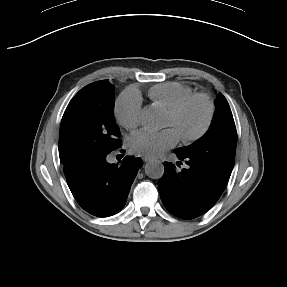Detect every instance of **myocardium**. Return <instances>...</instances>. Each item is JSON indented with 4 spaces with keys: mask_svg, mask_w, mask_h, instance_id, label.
Listing matches in <instances>:
<instances>
[{
    "mask_svg": "<svg viewBox=\"0 0 287 287\" xmlns=\"http://www.w3.org/2000/svg\"><path fill=\"white\" fill-rule=\"evenodd\" d=\"M200 101L206 110L205 120L202 127L195 133L189 135H181L180 139L185 144H190L201 139L209 130L213 116H214V105L207 94L204 93H193L180 101L176 106L170 109L167 114L172 117H177L181 114L191 103Z\"/></svg>",
    "mask_w": 287,
    "mask_h": 287,
    "instance_id": "f54148a6",
    "label": "myocardium"
}]
</instances>
